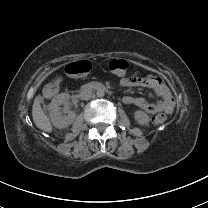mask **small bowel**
I'll use <instances>...</instances> for the list:
<instances>
[{
    "mask_svg": "<svg viewBox=\"0 0 208 208\" xmlns=\"http://www.w3.org/2000/svg\"><path fill=\"white\" fill-rule=\"evenodd\" d=\"M121 83L128 87H146L153 89L161 99L159 102L151 103L143 98L126 96L124 98L126 104L138 107L151 114L171 113L173 111L174 98L162 78L156 76L142 77L139 75H131L124 77Z\"/></svg>",
    "mask_w": 208,
    "mask_h": 208,
    "instance_id": "1",
    "label": "small bowel"
}]
</instances>
